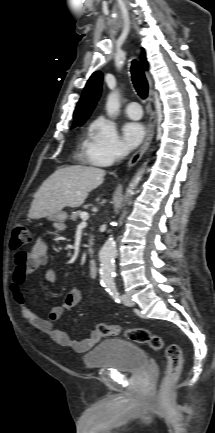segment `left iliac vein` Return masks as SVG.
Instances as JSON below:
<instances>
[{"mask_svg":"<svg viewBox=\"0 0 215 433\" xmlns=\"http://www.w3.org/2000/svg\"><path fill=\"white\" fill-rule=\"evenodd\" d=\"M122 302L126 305V306H134L135 303L133 302V300L131 299V297L127 294H123L121 296Z\"/></svg>","mask_w":215,"mask_h":433,"instance_id":"1","label":"left iliac vein"}]
</instances>
